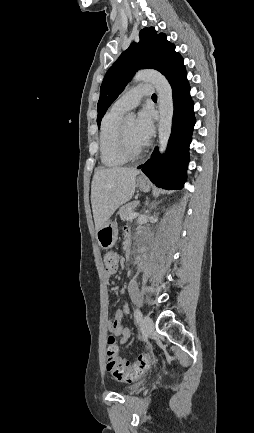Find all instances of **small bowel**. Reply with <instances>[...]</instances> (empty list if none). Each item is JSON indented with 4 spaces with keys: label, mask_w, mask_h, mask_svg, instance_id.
Segmentation results:
<instances>
[{
    "label": "small bowel",
    "mask_w": 254,
    "mask_h": 433,
    "mask_svg": "<svg viewBox=\"0 0 254 433\" xmlns=\"http://www.w3.org/2000/svg\"><path fill=\"white\" fill-rule=\"evenodd\" d=\"M128 236V234L126 233ZM112 274H108L106 276V281L108 282L109 277ZM125 290L121 289V293H124ZM129 306L124 304L115 314L112 319H109L105 323L106 329L113 335L120 337V343H126L131 337V330L128 327L122 325V319L129 314Z\"/></svg>",
    "instance_id": "c3829d8e"
}]
</instances>
